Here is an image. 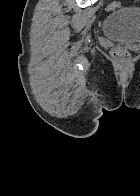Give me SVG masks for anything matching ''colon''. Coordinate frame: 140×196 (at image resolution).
Segmentation results:
<instances>
[{
	"label": "colon",
	"mask_w": 140,
	"mask_h": 196,
	"mask_svg": "<svg viewBox=\"0 0 140 196\" xmlns=\"http://www.w3.org/2000/svg\"><path fill=\"white\" fill-rule=\"evenodd\" d=\"M121 7H122L121 3L115 1V2H110L106 6V10L109 12H113L120 9ZM111 54L114 61L120 66L126 65L130 60V52L121 45H116L112 49Z\"/></svg>",
	"instance_id": "colon-1"
}]
</instances>
